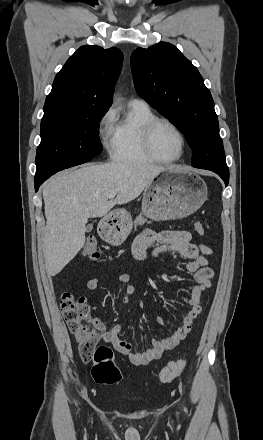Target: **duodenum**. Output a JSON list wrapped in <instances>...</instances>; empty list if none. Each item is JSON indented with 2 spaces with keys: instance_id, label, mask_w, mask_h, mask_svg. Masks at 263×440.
<instances>
[{
  "instance_id": "duodenum-1",
  "label": "duodenum",
  "mask_w": 263,
  "mask_h": 440,
  "mask_svg": "<svg viewBox=\"0 0 263 440\" xmlns=\"http://www.w3.org/2000/svg\"><path fill=\"white\" fill-rule=\"evenodd\" d=\"M113 219H114L115 221H117V220H118V218H117V217H113Z\"/></svg>"
}]
</instances>
